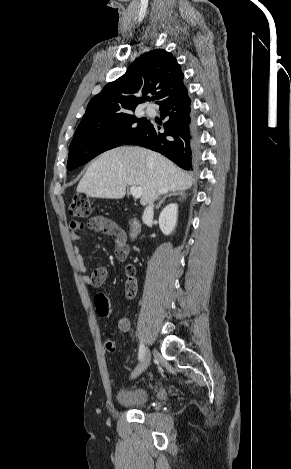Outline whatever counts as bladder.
I'll use <instances>...</instances> for the list:
<instances>
[{
  "instance_id": "31cf9c89",
  "label": "bladder",
  "mask_w": 291,
  "mask_h": 469,
  "mask_svg": "<svg viewBox=\"0 0 291 469\" xmlns=\"http://www.w3.org/2000/svg\"><path fill=\"white\" fill-rule=\"evenodd\" d=\"M149 399V393L144 388H134L122 391L118 395V401L122 406L129 408L143 407Z\"/></svg>"
}]
</instances>
